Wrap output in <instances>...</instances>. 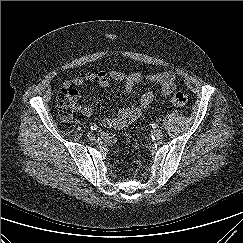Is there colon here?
<instances>
[{"mask_svg": "<svg viewBox=\"0 0 243 243\" xmlns=\"http://www.w3.org/2000/svg\"><path fill=\"white\" fill-rule=\"evenodd\" d=\"M171 102L176 107H185L188 104V97L177 92L171 97ZM57 107L63 120H70L76 111V97L72 90L62 88L57 94Z\"/></svg>", "mask_w": 243, "mask_h": 243, "instance_id": "obj_1", "label": "colon"}]
</instances>
